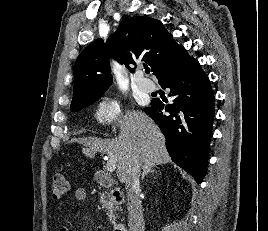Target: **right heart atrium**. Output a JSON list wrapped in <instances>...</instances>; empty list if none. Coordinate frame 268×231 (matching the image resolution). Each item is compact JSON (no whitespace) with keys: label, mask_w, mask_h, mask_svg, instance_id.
<instances>
[{"label":"right heart atrium","mask_w":268,"mask_h":231,"mask_svg":"<svg viewBox=\"0 0 268 231\" xmlns=\"http://www.w3.org/2000/svg\"><path fill=\"white\" fill-rule=\"evenodd\" d=\"M120 112V103L115 98L101 99L95 108V117L103 125H111Z\"/></svg>","instance_id":"1"}]
</instances>
